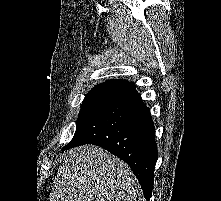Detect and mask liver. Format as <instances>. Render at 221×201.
<instances>
[{
  "label": "liver",
  "mask_w": 221,
  "mask_h": 201,
  "mask_svg": "<svg viewBox=\"0 0 221 201\" xmlns=\"http://www.w3.org/2000/svg\"><path fill=\"white\" fill-rule=\"evenodd\" d=\"M50 201H137L138 183L126 163L84 145L63 154Z\"/></svg>",
  "instance_id": "1"
}]
</instances>
